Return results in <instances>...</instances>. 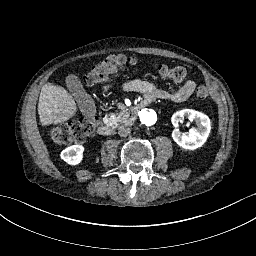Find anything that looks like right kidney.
Listing matches in <instances>:
<instances>
[{
    "instance_id": "obj_1",
    "label": "right kidney",
    "mask_w": 256,
    "mask_h": 256,
    "mask_svg": "<svg viewBox=\"0 0 256 256\" xmlns=\"http://www.w3.org/2000/svg\"><path fill=\"white\" fill-rule=\"evenodd\" d=\"M84 147L72 145L61 152V158L70 165H77L82 161Z\"/></svg>"
}]
</instances>
